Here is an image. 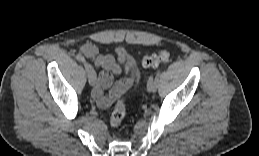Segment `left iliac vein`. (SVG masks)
<instances>
[{"instance_id":"1","label":"left iliac vein","mask_w":259,"mask_h":156,"mask_svg":"<svg viewBox=\"0 0 259 156\" xmlns=\"http://www.w3.org/2000/svg\"><path fill=\"white\" fill-rule=\"evenodd\" d=\"M154 84H155V80H153V82L147 84V90H148L149 92H152V93H153V92L156 91V89H154Z\"/></svg>"}]
</instances>
